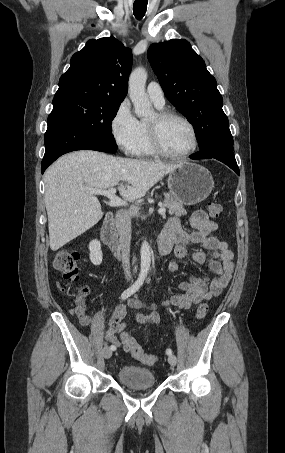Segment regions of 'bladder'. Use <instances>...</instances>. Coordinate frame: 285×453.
<instances>
[{
    "label": "bladder",
    "mask_w": 285,
    "mask_h": 453,
    "mask_svg": "<svg viewBox=\"0 0 285 453\" xmlns=\"http://www.w3.org/2000/svg\"><path fill=\"white\" fill-rule=\"evenodd\" d=\"M117 379L121 384L131 388H149L157 383L152 370L136 365L121 366L117 371Z\"/></svg>",
    "instance_id": "1"
}]
</instances>
